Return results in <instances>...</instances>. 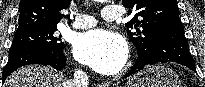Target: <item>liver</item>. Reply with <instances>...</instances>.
I'll return each instance as SVG.
<instances>
[{"mask_svg": "<svg viewBox=\"0 0 205 87\" xmlns=\"http://www.w3.org/2000/svg\"><path fill=\"white\" fill-rule=\"evenodd\" d=\"M63 75L50 66L29 65L12 73L3 87H67Z\"/></svg>", "mask_w": 205, "mask_h": 87, "instance_id": "obj_1", "label": "liver"}]
</instances>
